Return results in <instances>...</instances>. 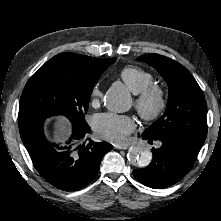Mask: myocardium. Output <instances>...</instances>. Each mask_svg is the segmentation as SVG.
<instances>
[{"mask_svg":"<svg viewBox=\"0 0 221 221\" xmlns=\"http://www.w3.org/2000/svg\"><path fill=\"white\" fill-rule=\"evenodd\" d=\"M134 107L143 120H158L167 107V98L164 89L159 85L150 84L136 94Z\"/></svg>","mask_w":221,"mask_h":221,"instance_id":"myocardium-1","label":"myocardium"}]
</instances>
